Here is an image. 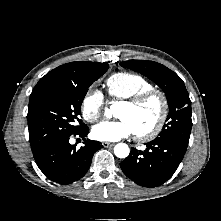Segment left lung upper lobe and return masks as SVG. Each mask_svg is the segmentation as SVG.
Wrapping results in <instances>:
<instances>
[{
	"label": "left lung upper lobe",
	"mask_w": 221,
	"mask_h": 221,
	"mask_svg": "<svg viewBox=\"0 0 221 221\" xmlns=\"http://www.w3.org/2000/svg\"><path fill=\"white\" fill-rule=\"evenodd\" d=\"M120 65L148 77L167 97L169 114L156 139H171L188 146L192 128L191 101L180 77L164 65L153 61L130 60L121 62Z\"/></svg>",
	"instance_id": "1"
}]
</instances>
